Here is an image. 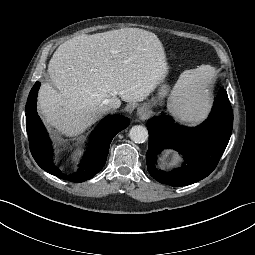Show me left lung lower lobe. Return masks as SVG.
Returning a JSON list of instances; mask_svg holds the SVG:
<instances>
[{
    "label": "left lung lower lobe",
    "mask_w": 255,
    "mask_h": 255,
    "mask_svg": "<svg viewBox=\"0 0 255 255\" xmlns=\"http://www.w3.org/2000/svg\"><path fill=\"white\" fill-rule=\"evenodd\" d=\"M233 111L227 92L221 88L206 121L196 128L175 124L171 118L148 122L147 169L162 184L184 186L207 177L217 166L232 133ZM164 148L183 153L187 165L170 172L156 168V157Z\"/></svg>",
    "instance_id": "0a47b994"
}]
</instances>
